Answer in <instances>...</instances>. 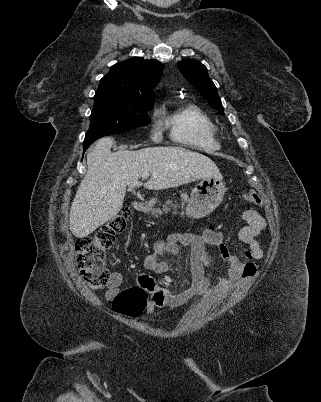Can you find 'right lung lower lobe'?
<instances>
[{"label":"right lung lower lobe","instance_id":"obj_1","mask_svg":"<svg viewBox=\"0 0 321 402\" xmlns=\"http://www.w3.org/2000/svg\"><path fill=\"white\" fill-rule=\"evenodd\" d=\"M92 142H93V141H84V143H83L84 152L86 151V149L88 148V146H89Z\"/></svg>","mask_w":321,"mask_h":402}]
</instances>
